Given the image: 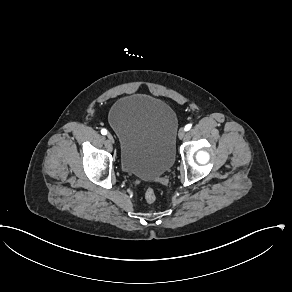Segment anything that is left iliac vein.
I'll use <instances>...</instances> for the list:
<instances>
[{
    "instance_id": "4c4485c4",
    "label": "left iliac vein",
    "mask_w": 292,
    "mask_h": 292,
    "mask_svg": "<svg viewBox=\"0 0 292 292\" xmlns=\"http://www.w3.org/2000/svg\"><path fill=\"white\" fill-rule=\"evenodd\" d=\"M186 135V131L182 128L179 130V133H178V138L179 139H183Z\"/></svg>"
}]
</instances>
